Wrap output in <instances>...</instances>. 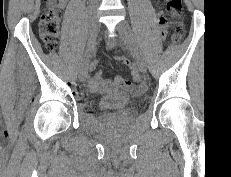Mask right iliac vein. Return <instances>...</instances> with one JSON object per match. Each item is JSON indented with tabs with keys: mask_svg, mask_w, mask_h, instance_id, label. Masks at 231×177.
<instances>
[{
	"mask_svg": "<svg viewBox=\"0 0 231 177\" xmlns=\"http://www.w3.org/2000/svg\"><path fill=\"white\" fill-rule=\"evenodd\" d=\"M99 27L100 24L98 21V16L95 11H92L90 13V19H89V42L79 70L80 81H85L88 77V69H89L88 61H89L90 51L94 46V41L96 38V34L99 30Z\"/></svg>",
	"mask_w": 231,
	"mask_h": 177,
	"instance_id": "63e3f726",
	"label": "right iliac vein"
}]
</instances>
